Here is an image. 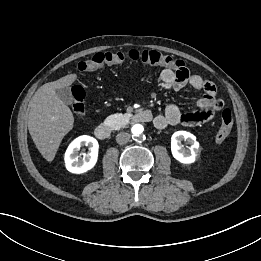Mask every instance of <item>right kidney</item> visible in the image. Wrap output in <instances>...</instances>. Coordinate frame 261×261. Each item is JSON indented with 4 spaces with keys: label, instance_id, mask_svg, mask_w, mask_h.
<instances>
[{
    "label": "right kidney",
    "instance_id": "1",
    "mask_svg": "<svg viewBox=\"0 0 261 261\" xmlns=\"http://www.w3.org/2000/svg\"><path fill=\"white\" fill-rule=\"evenodd\" d=\"M89 147V153L79 158L78 151L81 146ZM98 142L95 138L87 135L79 136L70 143L65 152V165L68 171L75 174H81L92 169L98 159Z\"/></svg>",
    "mask_w": 261,
    "mask_h": 261
}]
</instances>
